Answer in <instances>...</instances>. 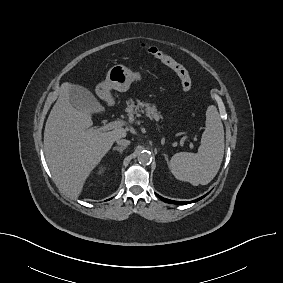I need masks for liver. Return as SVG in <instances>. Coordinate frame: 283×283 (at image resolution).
<instances>
[{
	"label": "liver",
	"instance_id": "liver-1",
	"mask_svg": "<svg viewBox=\"0 0 283 283\" xmlns=\"http://www.w3.org/2000/svg\"><path fill=\"white\" fill-rule=\"evenodd\" d=\"M63 86L44 130V152L51 174L58 187L69 197L77 198L91 171L118 138L124 128L112 131L93 129L92 114L98 108L79 110L70 102L69 90Z\"/></svg>",
	"mask_w": 283,
	"mask_h": 283
}]
</instances>
